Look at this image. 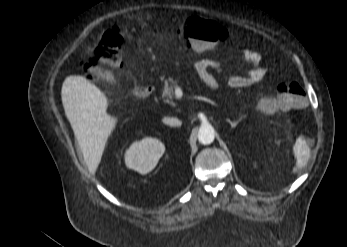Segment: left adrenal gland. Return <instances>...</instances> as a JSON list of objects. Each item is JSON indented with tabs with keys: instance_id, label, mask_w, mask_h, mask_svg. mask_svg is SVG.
I'll use <instances>...</instances> for the list:
<instances>
[{
	"instance_id": "left-adrenal-gland-1",
	"label": "left adrenal gland",
	"mask_w": 347,
	"mask_h": 247,
	"mask_svg": "<svg viewBox=\"0 0 347 247\" xmlns=\"http://www.w3.org/2000/svg\"><path fill=\"white\" fill-rule=\"evenodd\" d=\"M242 120V117H240L238 120L232 122L230 119H226V121L231 125L232 128H235L239 122H241Z\"/></svg>"
}]
</instances>
